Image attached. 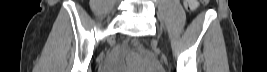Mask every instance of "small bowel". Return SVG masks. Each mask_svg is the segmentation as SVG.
<instances>
[{"mask_svg":"<svg viewBox=\"0 0 267 72\" xmlns=\"http://www.w3.org/2000/svg\"><path fill=\"white\" fill-rule=\"evenodd\" d=\"M185 7L188 10L193 11L197 8V1L196 0H186L185 1Z\"/></svg>","mask_w":267,"mask_h":72,"instance_id":"1","label":"small bowel"}]
</instances>
